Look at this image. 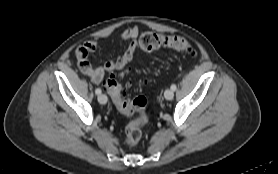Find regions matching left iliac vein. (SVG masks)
Segmentation results:
<instances>
[{"label":"left iliac vein","instance_id":"left-iliac-vein-1","mask_svg":"<svg viewBox=\"0 0 278 174\" xmlns=\"http://www.w3.org/2000/svg\"><path fill=\"white\" fill-rule=\"evenodd\" d=\"M164 96L167 100H172L174 97V92L172 89H166V91L164 92Z\"/></svg>","mask_w":278,"mask_h":174}]
</instances>
